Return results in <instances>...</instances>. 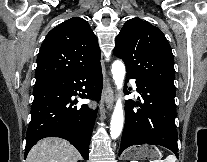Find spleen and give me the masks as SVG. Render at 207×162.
<instances>
[{"label": "spleen", "mask_w": 207, "mask_h": 162, "mask_svg": "<svg viewBox=\"0 0 207 162\" xmlns=\"http://www.w3.org/2000/svg\"><path fill=\"white\" fill-rule=\"evenodd\" d=\"M156 162H176V157L174 155H168L165 160H157Z\"/></svg>", "instance_id": "3e777b00"}]
</instances>
